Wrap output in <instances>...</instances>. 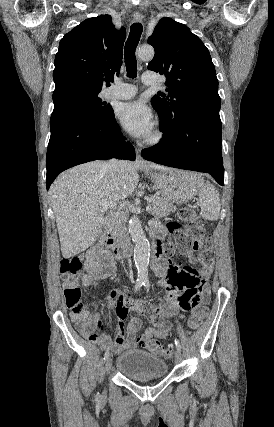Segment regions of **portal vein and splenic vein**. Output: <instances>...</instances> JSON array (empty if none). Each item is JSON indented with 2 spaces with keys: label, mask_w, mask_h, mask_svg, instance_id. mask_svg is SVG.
<instances>
[{
  "label": "portal vein and splenic vein",
  "mask_w": 274,
  "mask_h": 427,
  "mask_svg": "<svg viewBox=\"0 0 274 427\" xmlns=\"http://www.w3.org/2000/svg\"><path fill=\"white\" fill-rule=\"evenodd\" d=\"M117 204H104V206H102V208H105V210H108V208H113V210H115ZM149 210H151V206H147L146 208V212H149Z\"/></svg>",
  "instance_id": "1"
}]
</instances>
